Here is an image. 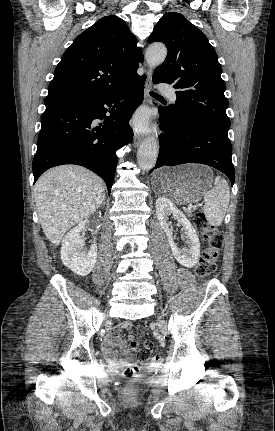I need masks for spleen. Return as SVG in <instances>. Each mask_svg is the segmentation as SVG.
<instances>
[{"instance_id": "spleen-1", "label": "spleen", "mask_w": 275, "mask_h": 431, "mask_svg": "<svg viewBox=\"0 0 275 431\" xmlns=\"http://www.w3.org/2000/svg\"><path fill=\"white\" fill-rule=\"evenodd\" d=\"M229 201V185L217 176L214 186L204 194V214L210 225L219 226L223 222Z\"/></svg>"}]
</instances>
